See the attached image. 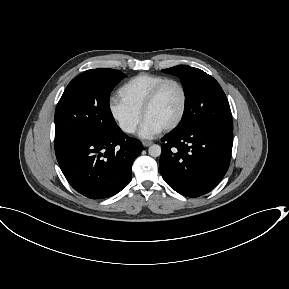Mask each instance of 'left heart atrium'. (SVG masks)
Wrapping results in <instances>:
<instances>
[{
    "mask_svg": "<svg viewBox=\"0 0 289 289\" xmlns=\"http://www.w3.org/2000/svg\"><path fill=\"white\" fill-rule=\"evenodd\" d=\"M162 130L163 128L158 124L152 122L151 120L144 119L139 130V136L142 138H152L158 133H160Z\"/></svg>",
    "mask_w": 289,
    "mask_h": 289,
    "instance_id": "1",
    "label": "left heart atrium"
}]
</instances>
